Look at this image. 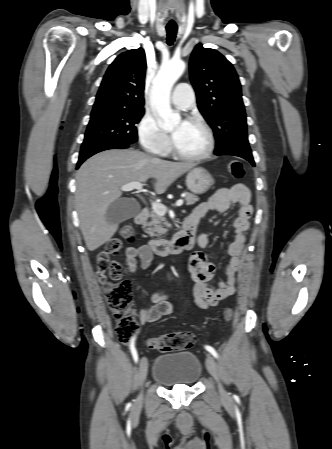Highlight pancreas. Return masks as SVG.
<instances>
[{
  "mask_svg": "<svg viewBox=\"0 0 332 449\" xmlns=\"http://www.w3.org/2000/svg\"><path fill=\"white\" fill-rule=\"evenodd\" d=\"M186 205H193L195 202L199 201V198L191 193H186L185 195ZM151 221L144 222L143 228L145 233L149 234L151 237H159L167 232V228L170 224L167 222L163 215H159L152 211L149 214Z\"/></svg>",
  "mask_w": 332,
  "mask_h": 449,
  "instance_id": "1",
  "label": "pancreas"
}]
</instances>
